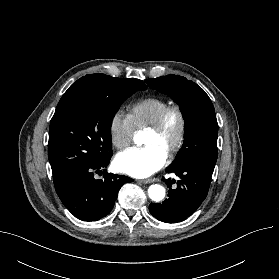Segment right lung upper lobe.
Instances as JSON below:
<instances>
[{
    "label": "right lung upper lobe",
    "mask_w": 279,
    "mask_h": 279,
    "mask_svg": "<svg viewBox=\"0 0 279 279\" xmlns=\"http://www.w3.org/2000/svg\"><path fill=\"white\" fill-rule=\"evenodd\" d=\"M84 80V77L80 78L79 80H77L73 85H76L80 82H82ZM141 81V80H140ZM141 85L143 86L144 89H146V85L143 83V81H141Z\"/></svg>",
    "instance_id": "obj_1"
}]
</instances>
